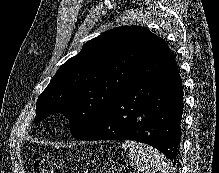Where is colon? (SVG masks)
<instances>
[{
  "mask_svg": "<svg viewBox=\"0 0 219 173\" xmlns=\"http://www.w3.org/2000/svg\"><path fill=\"white\" fill-rule=\"evenodd\" d=\"M60 167L59 163L51 159H38L34 163L32 173H54Z\"/></svg>",
  "mask_w": 219,
  "mask_h": 173,
  "instance_id": "obj_1",
  "label": "colon"
}]
</instances>
